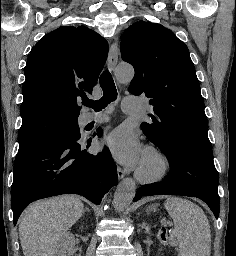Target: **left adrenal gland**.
I'll use <instances>...</instances> for the list:
<instances>
[{"mask_svg": "<svg viewBox=\"0 0 236 256\" xmlns=\"http://www.w3.org/2000/svg\"><path fill=\"white\" fill-rule=\"evenodd\" d=\"M148 210H152V208H148Z\"/></svg>", "mask_w": 236, "mask_h": 256, "instance_id": "obj_1", "label": "left adrenal gland"}]
</instances>
